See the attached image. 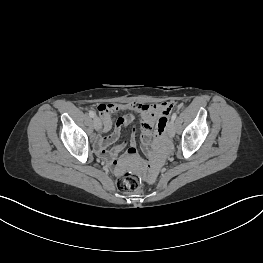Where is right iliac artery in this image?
<instances>
[{"instance_id":"obj_1","label":"right iliac artery","mask_w":263,"mask_h":263,"mask_svg":"<svg viewBox=\"0 0 263 263\" xmlns=\"http://www.w3.org/2000/svg\"><path fill=\"white\" fill-rule=\"evenodd\" d=\"M89 116L92 117V118H94V117L96 116V114H95V112H93V111H89Z\"/></svg>"}]
</instances>
